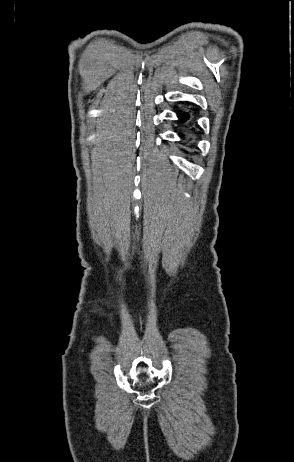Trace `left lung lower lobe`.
<instances>
[{"label": "left lung lower lobe", "mask_w": 294, "mask_h": 462, "mask_svg": "<svg viewBox=\"0 0 294 462\" xmlns=\"http://www.w3.org/2000/svg\"><path fill=\"white\" fill-rule=\"evenodd\" d=\"M178 117L184 121L188 118V115L186 113L179 112Z\"/></svg>", "instance_id": "0a47b994"}]
</instances>
